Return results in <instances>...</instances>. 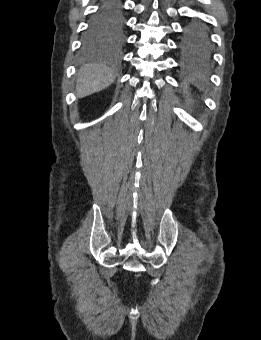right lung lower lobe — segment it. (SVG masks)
Masks as SVG:
<instances>
[{"label": "right lung lower lobe", "mask_w": 261, "mask_h": 340, "mask_svg": "<svg viewBox=\"0 0 261 340\" xmlns=\"http://www.w3.org/2000/svg\"><path fill=\"white\" fill-rule=\"evenodd\" d=\"M98 12L104 14L121 13V0H101Z\"/></svg>", "instance_id": "1"}]
</instances>
